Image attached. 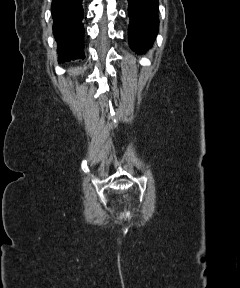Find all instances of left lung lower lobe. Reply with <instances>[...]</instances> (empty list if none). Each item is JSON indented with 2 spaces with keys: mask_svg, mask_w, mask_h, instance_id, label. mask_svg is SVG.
I'll use <instances>...</instances> for the list:
<instances>
[{
  "mask_svg": "<svg viewBox=\"0 0 240 288\" xmlns=\"http://www.w3.org/2000/svg\"><path fill=\"white\" fill-rule=\"evenodd\" d=\"M129 44L138 53L152 46L158 31V0H128Z\"/></svg>",
  "mask_w": 240,
  "mask_h": 288,
  "instance_id": "obj_1",
  "label": "left lung lower lobe"
}]
</instances>
